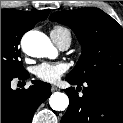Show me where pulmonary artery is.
Returning <instances> with one entry per match:
<instances>
[{"mask_svg": "<svg viewBox=\"0 0 123 123\" xmlns=\"http://www.w3.org/2000/svg\"><path fill=\"white\" fill-rule=\"evenodd\" d=\"M51 39L53 42L61 49L66 50L70 47L71 44V36L68 33H58L52 31L50 33Z\"/></svg>", "mask_w": 123, "mask_h": 123, "instance_id": "1", "label": "pulmonary artery"}]
</instances>
